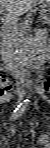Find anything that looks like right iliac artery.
Wrapping results in <instances>:
<instances>
[{"label":"right iliac artery","mask_w":50,"mask_h":148,"mask_svg":"<svg viewBox=\"0 0 50 148\" xmlns=\"http://www.w3.org/2000/svg\"><path fill=\"white\" fill-rule=\"evenodd\" d=\"M26 109V103H20L18 107L14 110L11 119H17Z\"/></svg>","instance_id":"1"}]
</instances>
